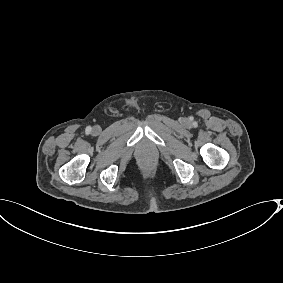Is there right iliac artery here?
I'll use <instances>...</instances> for the list:
<instances>
[{"mask_svg":"<svg viewBox=\"0 0 283 283\" xmlns=\"http://www.w3.org/2000/svg\"><path fill=\"white\" fill-rule=\"evenodd\" d=\"M86 131H87V132H90V131H91V127L88 126V127L86 128Z\"/></svg>","mask_w":283,"mask_h":283,"instance_id":"82829eb1","label":"right iliac artery"}]
</instances>
